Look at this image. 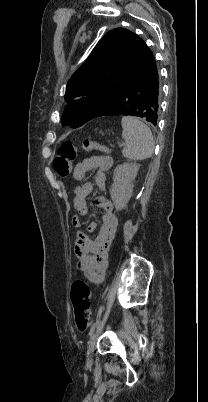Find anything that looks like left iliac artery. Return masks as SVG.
<instances>
[{"label": "left iliac artery", "mask_w": 208, "mask_h": 402, "mask_svg": "<svg viewBox=\"0 0 208 402\" xmlns=\"http://www.w3.org/2000/svg\"><path fill=\"white\" fill-rule=\"evenodd\" d=\"M95 328H96V323H93L92 326H91V328H90V331H89V337L92 336V334H93Z\"/></svg>", "instance_id": "obj_1"}]
</instances>
